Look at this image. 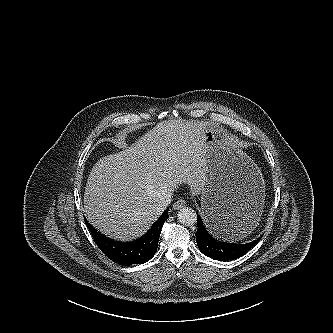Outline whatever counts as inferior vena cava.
<instances>
[{
	"instance_id": "1",
	"label": "inferior vena cava",
	"mask_w": 333,
	"mask_h": 333,
	"mask_svg": "<svg viewBox=\"0 0 333 333\" xmlns=\"http://www.w3.org/2000/svg\"><path fill=\"white\" fill-rule=\"evenodd\" d=\"M171 193H165L161 198L160 201L158 202V207L157 209L159 210H164L172 201L171 199Z\"/></svg>"
}]
</instances>
